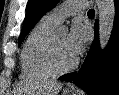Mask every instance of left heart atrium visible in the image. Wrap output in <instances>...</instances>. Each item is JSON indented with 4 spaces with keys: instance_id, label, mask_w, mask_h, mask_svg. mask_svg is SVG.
Segmentation results:
<instances>
[{
    "instance_id": "left-heart-atrium-1",
    "label": "left heart atrium",
    "mask_w": 119,
    "mask_h": 95,
    "mask_svg": "<svg viewBox=\"0 0 119 95\" xmlns=\"http://www.w3.org/2000/svg\"><path fill=\"white\" fill-rule=\"evenodd\" d=\"M87 40V29L79 21H75L67 36V47L71 55L76 59L83 51Z\"/></svg>"
}]
</instances>
